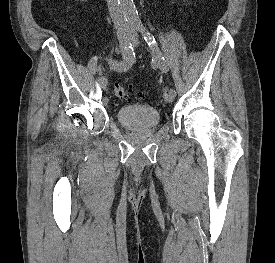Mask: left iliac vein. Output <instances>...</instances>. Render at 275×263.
I'll return each mask as SVG.
<instances>
[{
	"instance_id": "obj_1",
	"label": "left iliac vein",
	"mask_w": 275,
	"mask_h": 263,
	"mask_svg": "<svg viewBox=\"0 0 275 263\" xmlns=\"http://www.w3.org/2000/svg\"><path fill=\"white\" fill-rule=\"evenodd\" d=\"M133 41H134V44L135 45H138L139 44V41H138V38L137 36H134L133 37ZM163 98L166 102H172L175 98V94L174 93H171V92H165L163 94Z\"/></svg>"
}]
</instances>
